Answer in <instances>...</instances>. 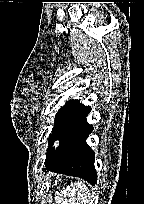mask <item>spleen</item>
Segmentation results:
<instances>
[{"label":"spleen","instance_id":"3e777b00","mask_svg":"<svg viewBox=\"0 0 144 204\" xmlns=\"http://www.w3.org/2000/svg\"><path fill=\"white\" fill-rule=\"evenodd\" d=\"M87 199H89V195L85 184L77 182L74 186L67 188L57 197V203L80 204V202H82L86 204Z\"/></svg>","mask_w":144,"mask_h":204}]
</instances>
